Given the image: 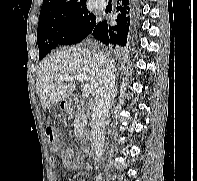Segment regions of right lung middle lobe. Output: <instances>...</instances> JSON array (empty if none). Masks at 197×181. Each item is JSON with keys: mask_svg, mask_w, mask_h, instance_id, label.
Segmentation results:
<instances>
[{"mask_svg": "<svg viewBox=\"0 0 197 181\" xmlns=\"http://www.w3.org/2000/svg\"><path fill=\"white\" fill-rule=\"evenodd\" d=\"M96 16L86 7L39 19L37 44L39 59H43L58 45L80 42L96 26Z\"/></svg>", "mask_w": 197, "mask_h": 181, "instance_id": "1", "label": "right lung middle lobe"}]
</instances>
